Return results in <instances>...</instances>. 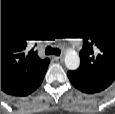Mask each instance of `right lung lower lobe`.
Here are the masks:
<instances>
[{
  "label": "right lung lower lobe",
  "mask_w": 115,
  "mask_h": 114,
  "mask_svg": "<svg viewBox=\"0 0 115 114\" xmlns=\"http://www.w3.org/2000/svg\"><path fill=\"white\" fill-rule=\"evenodd\" d=\"M42 81H43V80H42ZM42 81H41V83H42ZM41 83H40V84H41ZM40 84H39V86H40ZM39 86H38V87H39ZM38 87H37V88H38ZM37 88H36V89H37ZM36 89H35V90H36Z\"/></svg>",
  "instance_id": "98d812e1"
}]
</instances>
